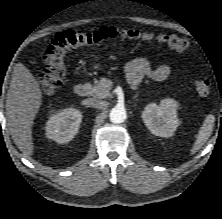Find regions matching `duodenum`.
Returning a JSON list of instances; mask_svg holds the SVG:
<instances>
[{
  "mask_svg": "<svg viewBox=\"0 0 222 219\" xmlns=\"http://www.w3.org/2000/svg\"><path fill=\"white\" fill-rule=\"evenodd\" d=\"M74 93L80 97L87 96L89 94V86L86 83H79L75 85Z\"/></svg>",
  "mask_w": 222,
  "mask_h": 219,
  "instance_id": "410a0bca",
  "label": "duodenum"
}]
</instances>
